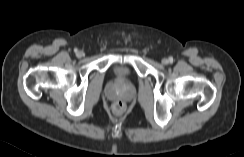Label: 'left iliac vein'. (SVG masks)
Instances as JSON below:
<instances>
[{
    "label": "left iliac vein",
    "instance_id": "1",
    "mask_svg": "<svg viewBox=\"0 0 244 157\" xmlns=\"http://www.w3.org/2000/svg\"><path fill=\"white\" fill-rule=\"evenodd\" d=\"M168 63H169V60H168V59H166V58H163V59H162V64L166 65V64H168Z\"/></svg>",
    "mask_w": 244,
    "mask_h": 157
}]
</instances>
